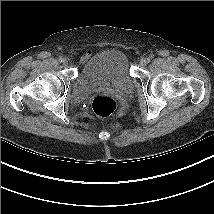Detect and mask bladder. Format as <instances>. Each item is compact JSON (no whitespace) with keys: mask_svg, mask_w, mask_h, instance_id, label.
I'll return each mask as SVG.
<instances>
[{"mask_svg":"<svg viewBox=\"0 0 214 214\" xmlns=\"http://www.w3.org/2000/svg\"><path fill=\"white\" fill-rule=\"evenodd\" d=\"M132 86L133 80L126 56L118 50L111 49L94 55L82 65L73 83L71 97L77 100L99 88L125 94Z\"/></svg>","mask_w":214,"mask_h":214,"instance_id":"31cf9c89","label":"bladder"}]
</instances>
